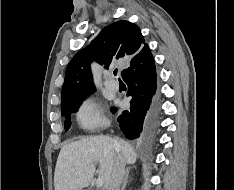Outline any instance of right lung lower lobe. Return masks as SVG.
Here are the masks:
<instances>
[{"label":"right lung lower lobe","instance_id":"obj_1","mask_svg":"<svg viewBox=\"0 0 234 190\" xmlns=\"http://www.w3.org/2000/svg\"><path fill=\"white\" fill-rule=\"evenodd\" d=\"M128 85L127 96H131V107L123 111L117 121L124 135L132 140L142 136L151 130L152 120L149 117L143 122L149 110L152 96L156 90V69L153 56L149 47L141 51L137 57L130 62V67L122 75ZM116 112V109L113 110Z\"/></svg>","mask_w":234,"mask_h":190}]
</instances>
